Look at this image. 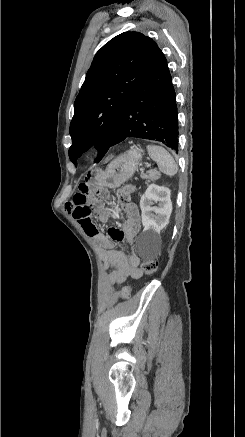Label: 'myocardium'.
<instances>
[{"instance_id":"obj_1","label":"myocardium","mask_w":245,"mask_h":437,"mask_svg":"<svg viewBox=\"0 0 245 437\" xmlns=\"http://www.w3.org/2000/svg\"><path fill=\"white\" fill-rule=\"evenodd\" d=\"M92 157V152L91 151H87L84 155V158L86 161H89Z\"/></svg>"}]
</instances>
